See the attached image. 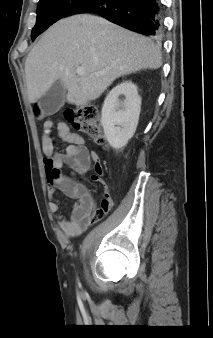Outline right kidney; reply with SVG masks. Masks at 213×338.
I'll use <instances>...</instances> for the list:
<instances>
[{
    "label": "right kidney",
    "instance_id": "1",
    "mask_svg": "<svg viewBox=\"0 0 213 338\" xmlns=\"http://www.w3.org/2000/svg\"><path fill=\"white\" fill-rule=\"evenodd\" d=\"M123 95L124 100L119 97ZM141 110L137 86L131 81L113 88L105 98L101 124L108 143L115 149L124 147L136 131Z\"/></svg>",
    "mask_w": 213,
    "mask_h": 338
}]
</instances>
